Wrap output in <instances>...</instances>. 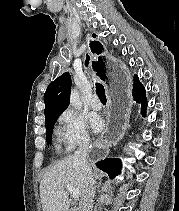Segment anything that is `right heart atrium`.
<instances>
[{
  "label": "right heart atrium",
  "mask_w": 179,
  "mask_h": 211,
  "mask_svg": "<svg viewBox=\"0 0 179 211\" xmlns=\"http://www.w3.org/2000/svg\"><path fill=\"white\" fill-rule=\"evenodd\" d=\"M57 137L66 151L90 142L89 127L83 116L68 109L58 119Z\"/></svg>",
  "instance_id": "d8ad5b80"
}]
</instances>
